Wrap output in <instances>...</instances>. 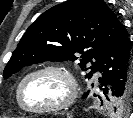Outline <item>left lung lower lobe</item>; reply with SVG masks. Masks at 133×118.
<instances>
[{
	"label": "left lung lower lobe",
	"instance_id": "0a47b994",
	"mask_svg": "<svg viewBox=\"0 0 133 118\" xmlns=\"http://www.w3.org/2000/svg\"><path fill=\"white\" fill-rule=\"evenodd\" d=\"M102 75L98 82L103 94L118 101L127 93H133V54L130 40L123 26L105 48L93 70Z\"/></svg>",
	"mask_w": 133,
	"mask_h": 118
}]
</instances>
